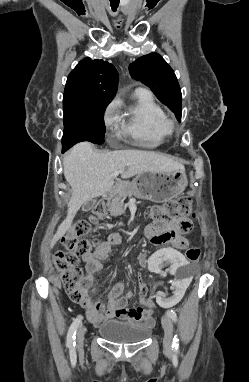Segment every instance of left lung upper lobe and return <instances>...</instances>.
I'll list each match as a JSON object with an SVG mask.
<instances>
[{"instance_id": "5c2ea615", "label": "left lung upper lobe", "mask_w": 249, "mask_h": 382, "mask_svg": "<svg viewBox=\"0 0 249 382\" xmlns=\"http://www.w3.org/2000/svg\"><path fill=\"white\" fill-rule=\"evenodd\" d=\"M129 72L132 78L149 86L157 98L181 120L180 86L174 71L159 54L151 53L138 58L130 64Z\"/></svg>"}]
</instances>
